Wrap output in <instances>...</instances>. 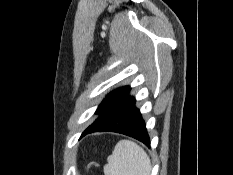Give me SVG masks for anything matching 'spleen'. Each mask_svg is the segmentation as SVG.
I'll list each match as a JSON object with an SVG mask.
<instances>
[{
  "label": "spleen",
  "mask_w": 233,
  "mask_h": 175,
  "mask_svg": "<svg viewBox=\"0 0 233 175\" xmlns=\"http://www.w3.org/2000/svg\"><path fill=\"white\" fill-rule=\"evenodd\" d=\"M104 166L105 175H150L151 163L145 151L129 140L119 141Z\"/></svg>",
  "instance_id": "1"
}]
</instances>
